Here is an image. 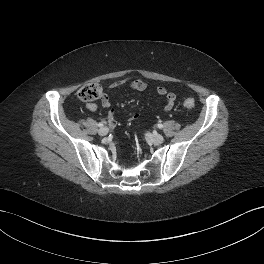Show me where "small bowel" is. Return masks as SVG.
Returning a JSON list of instances; mask_svg holds the SVG:
<instances>
[{
  "mask_svg": "<svg viewBox=\"0 0 264 264\" xmlns=\"http://www.w3.org/2000/svg\"><path fill=\"white\" fill-rule=\"evenodd\" d=\"M146 87H147V84L142 79H122V80H118L110 84L109 89L116 90L120 88H128L131 90L143 91L146 89ZM156 95L158 97L165 98L164 110L169 111L172 109L175 103V95L173 93H168L164 87L160 86L156 89ZM101 104L103 107H106V108L110 107L111 102H110L109 97L104 96L101 100ZM97 107L98 106L96 103L86 104V108L90 111H95ZM115 116H116L115 109H111L108 114V123L110 126H114L116 124Z\"/></svg>",
  "mask_w": 264,
  "mask_h": 264,
  "instance_id": "small-bowel-1",
  "label": "small bowel"
}]
</instances>
